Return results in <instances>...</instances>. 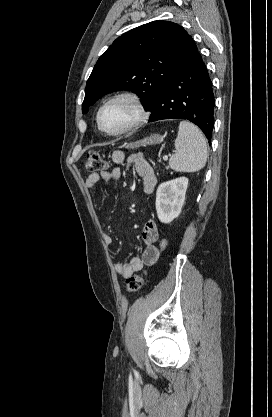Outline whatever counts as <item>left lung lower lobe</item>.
Here are the masks:
<instances>
[{
    "label": "left lung lower lobe",
    "mask_w": 272,
    "mask_h": 417,
    "mask_svg": "<svg viewBox=\"0 0 272 417\" xmlns=\"http://www.w3.org/2000/svg\"><path fill=\"white\" fill-rule=\"evenodd\" d=\"M215 99L212 82L200 54L185 62L158 95L149 122L186 119L211 140Z\"/></svg>",
    "instance_id": "1"
}]
</instances>
